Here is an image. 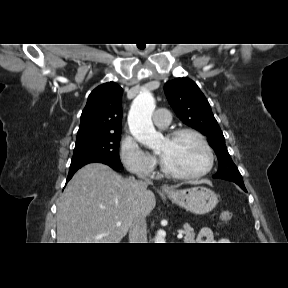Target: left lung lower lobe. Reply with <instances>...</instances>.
I'll list each match as a JSON object with an SVG mask.
<instances>
[{
	"label": "left lung lower lobe",
	"instance_id": "1",
	"mask_svg": "<svg viewBox=\"0 0 288 288\" xmlns=\"http://www.w3.org/2000/svg\"><path fill=\"white\" fill-rule=\"evenodd\" d=\"M239 186H240V187H241L245 192H247V190H246L244 184H239Z\"/></svg>",
	"mask_w": 288,
	"mask_h": 288
}]
</instances>
